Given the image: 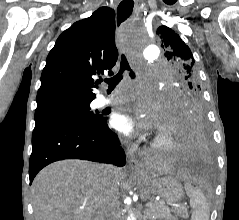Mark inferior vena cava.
Here are the masks:
<instances>
[{
    "mask_svg": "<svg viewBox=\"0 0 239 220\" xmlns=\"http://www.w3.org/2000/svg\"><path fill=\"white\" fill-rule=\"evenodd\" d=\"M114 167L112 165H106L104 167V173H105V187L107 190V193H112L117 189V186L113 180V172ZM105 217L107 220H113V216L110 213V208L107 207L104 209Z\"/></svg>",
    "mask_w": 239,
    "mask_h": 220,
    "instance_id": "602c4592",
    "label": "inferior vena cava"
}]
</instances>
